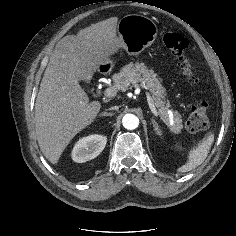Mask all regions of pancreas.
I'll return each mask as SVG.
<instances>
[{"label":"pancreas","instance_id":"pancreas-1","mask_svg":"<svg viewBox=\"0 0 236 236\" xmlns=\"http://www.w3.org/2000/svg\"><path fill=\"white\" fill-rule=\"evenodd\" d=\"M115 86L120 90L131 87L143 86L153 96V102L158 109L160 118L168 125L173 133H181L183 128L181 115L178 111H172V118L169 116L170 103L165 100V89L157 78V74L148 70L142 63H129L113 76Z\"/></svg>","mask_w":236,"mask_h":236}]
</instances>
